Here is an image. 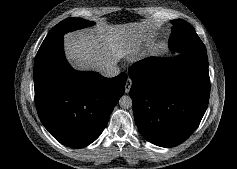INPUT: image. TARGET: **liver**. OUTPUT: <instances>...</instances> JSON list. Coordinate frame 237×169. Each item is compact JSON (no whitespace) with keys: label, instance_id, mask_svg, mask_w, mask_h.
Here are the masks:
<instances>
[{"label":"liver","instance_id":"6515ba94","mask_svg":"<svg viewBox=\"0 0 237 169\" xmlns=\"http://www.w3.org/2000/svg\"><path fill=\"white\" fill-rule=\"evenodd\" d=\"M146 31L144 24H132L130 28L115 25L73 32L65 36V53L75 69L101 72L105 66L118 62L123 38L140 37Z\"/></svg>","mask_w":237,"mask_h":169}]
</instances>
